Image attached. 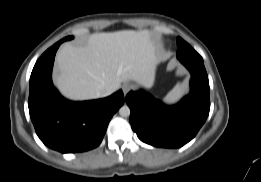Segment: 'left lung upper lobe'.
<instances>
[{
  "mask_svg": "<svg viewBox=\"0 0 261 182\" xmlns=\"http://www.w3.org/2000/svg\"><path fill=\"white\" fill-rule=\"evenodd\" d=\"M178 59H202V57L182 38H177Z\"/></svg>",
  "mask_w": 261,
  "mask_h": 182,
  "instance_id": "left-lung-upper-lobe-1",
  "label": "left lung upper lobe"
}]
</instances>
